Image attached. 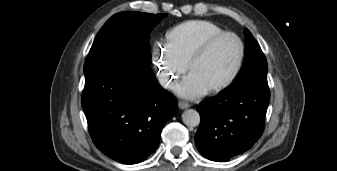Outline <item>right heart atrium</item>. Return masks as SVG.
Instances as JSON below:
<instances>
[{
	"instance_id": "right-heart-atrium-1",
	"label": "right heart atrium",
	"mask_w": 337,
	"mask_h": 171,
	"mask_svg": "<svg viewBox=\"0 0 337 171\" xmlns=\"http://www.w3.org/2000/svg\"><path fill=\"white\" fill-rule=\"evenodd\" d=\"M152 61L156 67L157 76L165 87H172L187 69L166 44L157 43L152 49Z\"/></svg>"
}]
</instances>
